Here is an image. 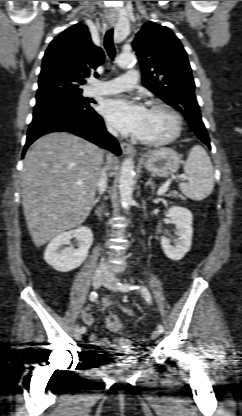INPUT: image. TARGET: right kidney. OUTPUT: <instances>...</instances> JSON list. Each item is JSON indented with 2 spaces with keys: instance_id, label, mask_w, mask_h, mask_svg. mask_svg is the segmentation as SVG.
<instances>
[{
  "instance_id": "1",
  "label": "right kidney",
  "mask_w": 242,
  "mask_h": 416,
  "mask_svg": "<svg viewBox=\"0 0 242 416\" xmlns=\"http://www.w3.org/2000/svg\"><path fill=\"white\" fill-rule=\"evenodd\" d=\"M73 237L79 241V247L77 249L69 247L61 249L63 245H68ZM92 242V231L85 226L60 233L48 244L44 253V260L57 271H71L84 262Z\"/></svg>"
}]
</instances>
